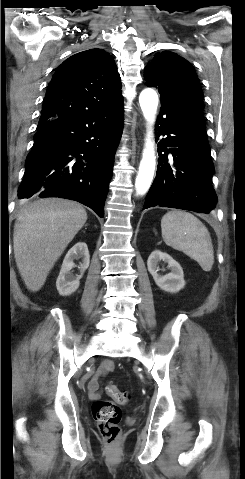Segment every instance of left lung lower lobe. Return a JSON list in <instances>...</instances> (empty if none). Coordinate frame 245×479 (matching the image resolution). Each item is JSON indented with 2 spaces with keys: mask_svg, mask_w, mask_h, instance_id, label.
<instances>
[{
  "mask_svg": "<svg viewBox=\"0 0 245 479\" xmlns=\"http://www.w3.org/2000/svg\"><path fill=\"white\" fill-rule=\"evenodd\" d=\"M156 131L159 163L144 208L160 206L208 214L217 197L211 184L214 165L202 105L194 100L162 101Z\"/></svg>",
  "mask_w": 245,
  "mask_h": 479,
  "instance_id": "0a47b994",
  "label": "left lung lower lobe"
}]
</instances>
